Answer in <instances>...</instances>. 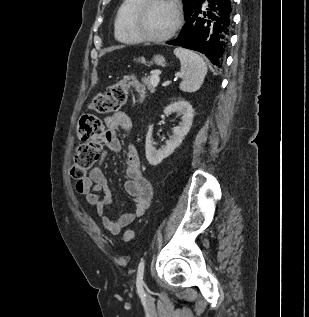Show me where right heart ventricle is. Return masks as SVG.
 <instances>
[{
	"mask_svg": "<svg viewBox=\"0 0 309 317\" xmlns=\"http://www.w3.org/2000/svg\"><path fill=\"white\" fill-rule=\"evenodd\" d=\"M142 0H123L114 19L115 38L125 44H135L140 40L131 30V16Z\"/></svg>",
	"mask_w": 309,
	"mask_h": 317,
	"instance_id": "e07e8e85",
	"label": "right heart ventricle"
}]
</instances>
